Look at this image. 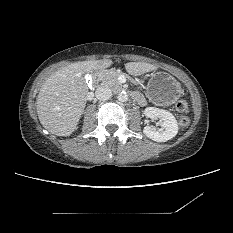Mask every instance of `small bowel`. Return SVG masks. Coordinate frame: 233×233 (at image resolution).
Wrapping results in <instances>:
<instances>
[{
  "label": "small bowel",
  "mask_w": 233,
  "mask_h": 233,
  "mask_svg": "<svg viewBox=\"0 0 233 233\" xmlns=\"http://www.w3.org/2000/svg\"><path fill=\"white\" fill-rule=\"evenodd\" d=\"M135 98L138 100L139 103H142L143 102V99L142 97H140L139 95L135 94Z\"/></svg>",
  "instance_id": "c3829d8e"
}]
</instances>
